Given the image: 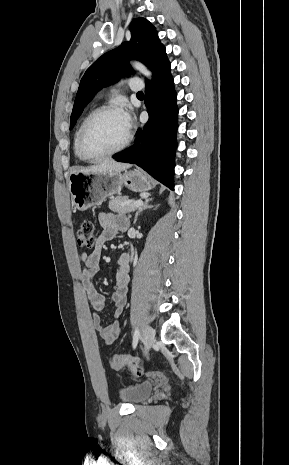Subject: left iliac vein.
Here are the masks:
<instances>
[{
  "label": "left iliac vein",
  "mask_w": 289,
  "mask_h": 465,
  "mask_svg": "<svg viewBox=\"0 0 289 465\" xmlns=\"http://www.w3.org/2000/svg\"><path fill=\"white\" fill-rule=\"evenodd\" d=\"M154 338H155L154 329L149 325H145L143 329V339H144L146 350H148L151 347V345L154 342Z\"/></svg>",
  "instance_id": "4c4485c4"
}]
</instances>
